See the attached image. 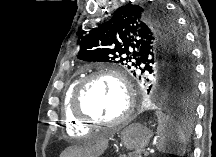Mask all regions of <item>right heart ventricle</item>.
<instances>
[{"instance_id":"right-heart-ventricle-1","label":"right heart ventricle","mask_w":216,"mask_h":157,"mask_svg":"<svg viewBox=\"0 0 216 157\" xmlns=\"http://www.w3.org/2000/svg\"><path fill=\"white\" fill-rule=\"evenodd\" d=\"M78 83V80L72 81L66 88L62 100V116L67 133L72 136H86L90 134V128L76 119L71 111V100L73 91Z\"/></svg>"}]
</instances>
